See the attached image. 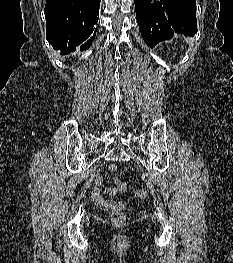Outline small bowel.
<instances>
[{"instance_id":"c3829d8e","label":"small bowel","mask_w":233,"mask_h":263,"mask_svg":"<svg viewBox=\"0 0 233 263\" xmlns=\"http://www.w3.org/2000/svg\"><path fill=\"white\" fill-rule=\"evenodd\" d=\"M103 177L98 176L95 179V183L97 187L93 191V199L95 203L104 210H113L120 211L126 207V202L124 201H116L112 199L106 198L104 195L106 194H115L117 192L114 188H106L103 186Z\"/></svg>"}]
</instances>
